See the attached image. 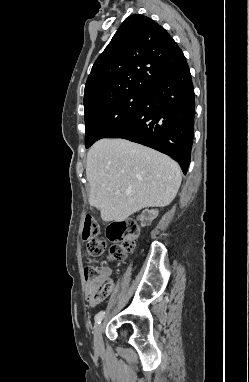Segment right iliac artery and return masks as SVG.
Instances as JSON below:
<instances>
[{
    "label": "right iliac artery",
    "instance_id": "82829eb1",
    "mask_svg": "<svg viewBox=\"0 0 249 382\" xmlns=\"http://www.w3.org/2000/svg\"><path fill=\"white\" fill-rule=\"evenodd\" d=\"M104 315H105V312H104V311H100L99 313H97L96 316H95V323H96V324H100L101 321H102L103 318H104Z\"/></svg>",
    "mask_w": 249,
    "mask_h": 382
}]
</instances>
